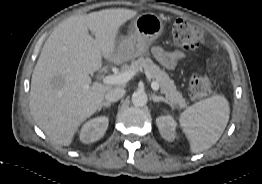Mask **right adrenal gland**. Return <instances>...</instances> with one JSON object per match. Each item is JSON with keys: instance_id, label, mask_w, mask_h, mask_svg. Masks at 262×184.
<instances>
[{"instance_id": "2a0ac1e0", "label": "right adrenal gland", "mask_w": 262, "mask_h": 184, "mask_svg": "<svg viewBox=\"0 0 262 184\" xmlns=\"http://www.w3.org/2000/svg\"><path fill=\"white\" fill-rule=\"evenodd\" d=\"M111 102H103L100 107L98 108V111H100L102 108L106 107L109 108L111 106Z\"/></svg>"}]
</instances>
